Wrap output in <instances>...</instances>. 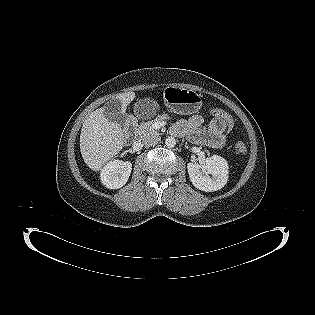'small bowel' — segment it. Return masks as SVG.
Segmentation results:
<instances>
[{
  "mask_svg": "<svg viewBox=\"0 0 315 315\" xmlns=\"http://www.w3.org/2000/svg\"><path fill=\"white\" fill-rule=\"evenodd\" d=\"M202 124V116L193 115L176 123L172 132L176 135H187L196 144L213 148L223 147L226 141L225 133L228 131L226 122L213 116L207 127H202Z\"/></svg>",
  "mask_w": 315,
  "mask_h": 315,
  "instance_id": "c3829d8e",
  "label": "small bowel"
}]
</instances>
